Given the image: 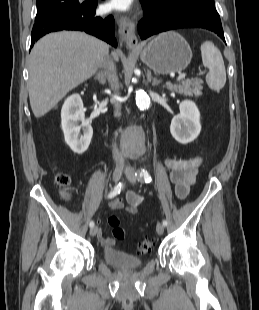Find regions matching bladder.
I'll return each mask as SVG.
<instances>
[{
    "instance_id": "31cf9c89",
    "label": "bladder",
    "mask_w": 259,
    "mask_h": 310,
    "mask_svg": "<svg viewBox=\"0 0 259 310\" xmlns=\"http://www.w3.org/2000/svg\"><path fill=\"white\" fill-rule=\"evenodd\" d=\"M102 258L106 264L118 269L139 268L143 260L116 247L105 248Z\"/></svg>"
}]
</instances>
